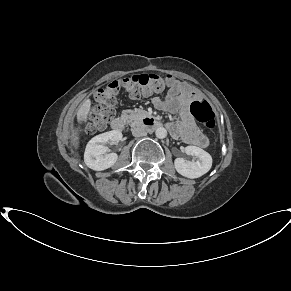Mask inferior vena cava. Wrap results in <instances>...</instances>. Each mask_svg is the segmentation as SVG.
I'll use <instances>...</instances> for the list:
<instances>
[{
	"mask_svg": "<svg viewBox=\"0 0 291 291\" xmlns=\"http://www.w3.org/2000/svg\"><path fill=\"white\" fill-rule=\"evenodd\" d=\"M132 135L135 137H141L147 135V129L143 125L132 128Z\"/></svg>",
	"mask_w": 291,
	"mask_h": 291,
	"instance_id": "obj_1",
	"label": "inferior vena cava"
}]
</instances>
